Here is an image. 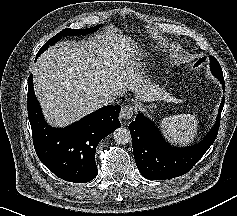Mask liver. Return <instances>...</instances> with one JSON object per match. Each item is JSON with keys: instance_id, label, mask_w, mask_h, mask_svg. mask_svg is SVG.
<instances>
[{"instance_id": "6515ba94", "label": "liver", "mask_w": 237, "mask_h": 216, "mask_svg": "<svg viewBox=\"0 0 237 216\" xmlns=\"http://www.w3.org/2000/svg\"><path fill=\"white\" fill-rule=\"evenodd\" d=\"M38 99L54 124H66L101 106V93L109 88L134 90L144 101L157 100L148 86L139 84L134 67L120 64L117 46L110 39L59 43L34 66ZM141 89V90H140Z\"/></svg>"}]
</instances>
